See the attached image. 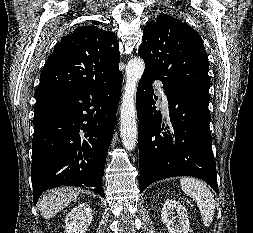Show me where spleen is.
<instances>
[{
	"instance_id": "1",
	"label": "spleen",
	"mask_w": 253,
	"mask_h": 233,
	"mask_svg": "<svg viewBox=\"0 0 253 233\" xmlns=\"http://www.w3.org/2000/svg\"><path fill=\"white\" fill-rule=\"evenodd\" d=\"M180 184L182 190L195 200L204 226H210L215 212V199L210 189L202 181L191 177L181 178Z\"/></svg>"
}]
</instances>
